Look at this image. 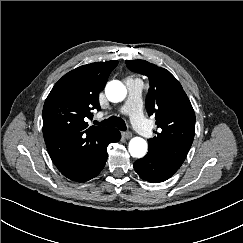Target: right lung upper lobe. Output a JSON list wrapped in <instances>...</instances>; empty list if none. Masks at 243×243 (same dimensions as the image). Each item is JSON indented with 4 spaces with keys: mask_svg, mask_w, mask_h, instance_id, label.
Returning <instances> with one entry per match:
<instances>
[{
    "mask_svg": "<svg viewBox=\"0 0 243 243\" xmlns=\"http://www.w3.org/2000/svg\"><path fill=\"white\" fill-rule=\"evenodd\" d=\"M117 60L80 66L52 88L43 107V136L56 166H82L104 146L115 128L89 127L93 109H100L99 93Z\"/></svg>",
    "mask_w": 243,
    "mask_h": 243,
    "instance_id": "1",
    "label": "right lung upper lobe"
}]
</instances>
